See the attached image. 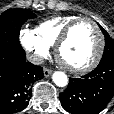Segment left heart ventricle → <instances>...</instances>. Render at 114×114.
Masks as SVG:
<instances>
[{"label": "left heart ventricle", "mask_w": 114, "mask_h": 114, "mask_svg": "<svg viewBox=\"0 0 114 114\" xmlns=\"http://www.w3.org/2000/svg\"><path fill=\"white\" fill-rule=\"evenodd\" d=\"M99 45V37L94 26L87 22L79 23L61 51L64 62L73 67L88 64L95 56Z\"/></svg>", "instance_id": "obj_1"}]
</instances>
